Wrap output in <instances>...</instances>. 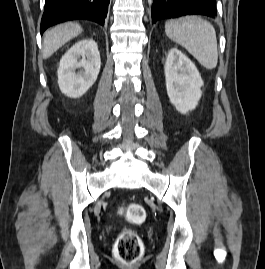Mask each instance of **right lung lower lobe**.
Returning <instances> with one entry per match:
<instances>
[{"label": "right lung lower lobe", "instance_id": "obj_1", "mask_svg": "<svg viewBox=\"0 0 265 269\" xmlns=\"http://www.w3.org/2000/svg\"><path fill=\"white\" fill-rule=\"evenodd\" d=\"M110 0H45L41 34L50 26L74 19H86L104 25Z\"/></svg>", "mask_w": 265, "mask_h": 269}]
</instances>
